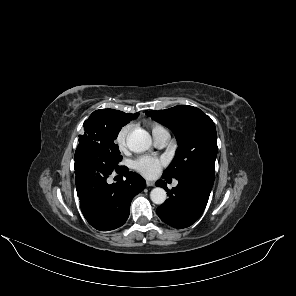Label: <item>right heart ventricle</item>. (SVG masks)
Masks as SVG:
<instances>
[{
  "label": "right heart ventricle",
  "mask_w": 296,
  "mask_h": 296,
  "mask_svg": "<svg viewBox=\"0 0 296 296\" xmlns=\"http://www.w3.org/2000/svg\"><path fill=\"white\" fill-rule=\"evenodd\" d=\"M147 126H148L153 138L158 136L160 133L167 131L161 124H159L157 122H148Z\"/></svg>",
  "instance_id": "1"
}]
</instances>
